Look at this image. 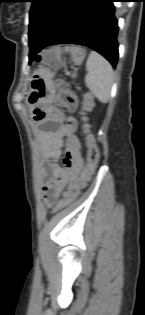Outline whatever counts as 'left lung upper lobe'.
<instances>
[{"mask_svg": "<svg viewBox=\"0 0 145 315\" xmlns=\"http://www.w3.org/2000/svg\"><path fill=\"white\" fill-rule=\"evenodd\" d=\"M73 0H32L29 38L42 41Z\"/></svg>", "mask_w": 145, "mask_h": 315, "instance_id": "1", "label": "left lung upper lobe"}]
</instances>
